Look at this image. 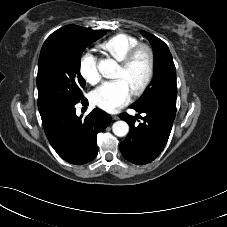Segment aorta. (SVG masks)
<instances>
[{
  "label": "aorta",
  "instance_id": "obj_1",
  "mask_svg": "<svg viewBox=\"0 0 227 227\" xmlns=\"http://www.w3.org/2000/svg\"><path fill=\"white\" fill-rule=\"evenodd\" d=\"M117 68V63L114 60L107 59L102 62L100 72L105 78H112ZM113 133L118 137H124L129 132V126L125 121H116L112 125Z\"/></svg>",
  "mask_w": 227,
  "mask_h": 227
}]
</instances>
